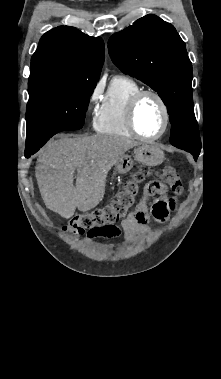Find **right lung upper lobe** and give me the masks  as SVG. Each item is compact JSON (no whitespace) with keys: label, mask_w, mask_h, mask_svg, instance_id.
<instances>
[{"label":"right lung upper lobe","mask_w":221,"mask_h":379,"mask_svg":"<svg viewBox=\"0 0 221 379\" xmlns=\"http://www.w3.org/2000/svg\"><path fill=\"white\" fill-rule=\"evenodd\" d=\"M104 43L78 29L59 26L45 33L31 59L28 92L76 84L96 86L104 62Z\"/></svg>","instance_id":"cb5924a9"}]
</instances>
